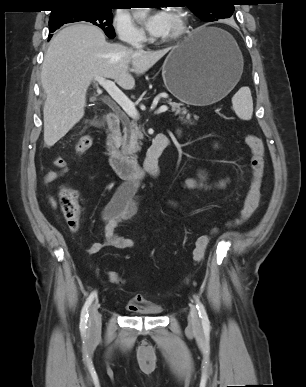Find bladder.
Masks as SVG:
<instances>
[{"label":"bladder","mask_w":306,"mask_h":387,"mask_svg":"<svg viewBox=\"0 0 306 387\" xmlns=\"http://www.w3.org/2000/svg\"><path fill=\"white\" fill-rule=\"evenodd\" d=\"M131 313L136 315L157 317L163 313V307L155 303H146L140 305L136 310H131Z\"/></svg>","instance_id":"31cf9c89"}]
</instances>
